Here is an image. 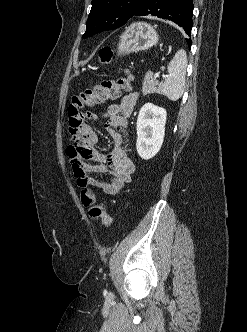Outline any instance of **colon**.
<instances>
[{
    "instance_id": "5ec220e1",
    "label": "colon",
    "mask_w": 247,
    "mask_h": 332,
    "mask_svg": "<svg viewBox=\"0 0 247 332\" xmlns=\"http://www.w3.org/2000/svg\"><path fill=\"white\" fill-rule=\"evenodd\" d=\"M100 59L103 63H108L112 57V51L108 47L100 50ZM132 76L120 78L117 81H102L91 87L74 94L68 108L69 131L76 133L84 122V110L105 102L108 99H115L124 91L131 89ZM81 199L83 204L89 208V215L95 220H100L101 224L108 228L111 226L113 218L102 204L97 203V196L93 189L85 188L82 191Z\"/></svg>"
}]
</instances>
